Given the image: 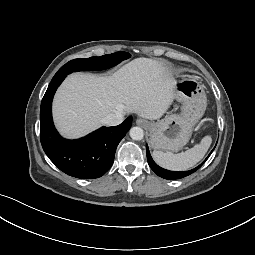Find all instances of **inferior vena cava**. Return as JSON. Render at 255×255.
Instances as JSON below:
<instances>
[{
    "label": "inferior vena cava",
    "instance_id": "602c4592",
    "mask_svg": "<svg viewBox=\"0 0 255 255\" xmlns=\"http://www.w3.org/2000/svg\"><path fill=\"white\" fill-rule=\"evenodd\" d=\"M123 120H124V115L120 112H115V113H111L107 115L103 119V123L108 126H116L122 123Z\"/></svg>",
    "mask_w": 255,
    "mask_h": 255
}]
</instances>
